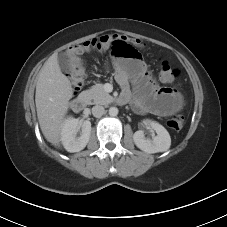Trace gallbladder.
Wrapping results in <instances>:
<instances>
[{
    "mask_svg": "<svg viewBox=\"0 0 227 227\" xmlns=\"http://www.w3.org/2000/svg\"><path fill=\"white\" fill-rule=\"evenodd\" d=\"M57 60L62 71L68 72L70 70V63L65 53H60Z\"/></svg>",
    "mask_w": 227,
    "mask_h": 227,
    "instance_id": "gallbladder-1",
    "label": "gallbladder"
}]
</instances>
